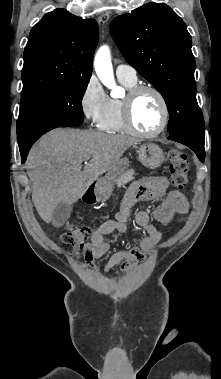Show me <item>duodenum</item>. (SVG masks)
<instances>
[{"mask_svg":"<svg viewBox=\"0 0 221 379\" xmlns=\"http://www.w3.org/2000/svg\"><path fill=\"white\" fill-rule=\"evenodd\" d=\"M85 197L90 198L92 200L95 199V183L91 184L88 190L85 193Z\"/></svg>","mask_w":221,"mask_h":379,"instance_id":"duodenum-1","label":"duodenum"}]
</instances>
